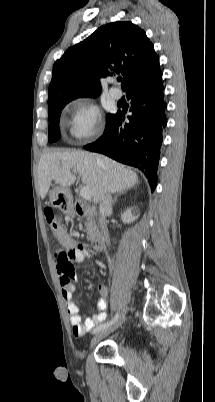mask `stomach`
Instances as JSON below:
<instances>
[{
	"label": "stomach",
	"instance_id": "obj_1",
	"mask_svg": "<svg viewBox=\"0 0 215 402\" xmlns=\"http://www.w3.org/2000/svg\"><path fill=\"white\" fill-rule=\"evenodd\" d=\"M49 197L51 204L61 212L68 215L73 213V204L68 188L57 186L50 191Z\"/></svg>",
	"mask_w": 215,
	"mask_h": 402
}]
</instances>
